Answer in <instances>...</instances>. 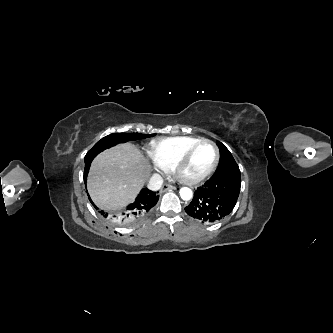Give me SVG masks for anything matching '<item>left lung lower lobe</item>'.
<instances>
[{"instance_id":"obj_1","label":"left lung lower lobe","mask_w":333,"mask_h":333,"mask_svg":"<svg viewBox=\"0 0 333 333\" xmlns=\"http://www.w3.org/2000/svg\"><path fill=\"white\" fill-rule=\"evenodd\" d=\"M241 187L238 165L216 171L194 192L186 213L202 223H213L230 214L237 202Z\"/></svg>"}]
</instances>
